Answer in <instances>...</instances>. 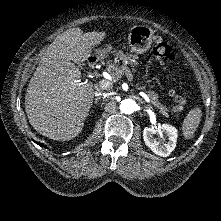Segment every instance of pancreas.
I'll use <instances>...</instances> for the list:
<instances>
[{"mask_svg": "<svg viewBox=\"0 0 221 221\" xmlns=\"http://www.w3.org/2000/svg\"><path fill=\"white\" fill-rule=\"evenodd\" d=\"M119 61L123 62V65L120 67H118V65L116 64ZM127 64L135 65L136 61L134 58H131L130 56L123 54L122 51H119L115 54L114 62L107 64V71L110 73L114 80H118L119 78H121L123 73H127L128 76L132 77ZM110 88H112V85L110 86ZM147 95L150 98L151 103L160 110V113L164 116H168V109L166 108V106L160 103L158 99V94L155 93L153 90H149L147 91Z\"/></svg>", "mask_w": 221, "mask_h": 221, "instance_id": "obj_1", "label": "pancreas"}]
</instances>
